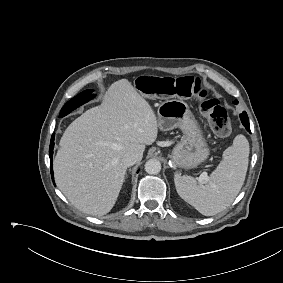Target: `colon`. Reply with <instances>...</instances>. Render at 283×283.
<instances>
[{
    "mask_svg": "<svg viewBox=\"0 0 283 283\" xmlns=\"http://www.w3.org/2000/svg\"><path fill=\"white\" fill-rule=\"evenodd\" d=\"M136 88L143 95L150 98L181 97L195 98L200 101V110L207 117L213 132L221 137L228 136L231 124L226 109L216 98L208 96L203 82L195 77L141 76L136 81Z\"/></svg>",
    "mask_w": 283,
    "mask_h": 283,
    "instance_id": "obj_1",
    "label": "colon"
}]
</instances>
